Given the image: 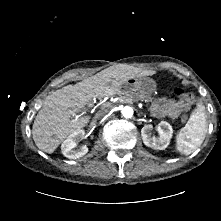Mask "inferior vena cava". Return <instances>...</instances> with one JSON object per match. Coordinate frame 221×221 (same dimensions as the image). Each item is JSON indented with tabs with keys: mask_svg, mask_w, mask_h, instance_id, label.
Returning <instances> with one entry per match:
<instances>
[{
	"mask_svg": "<svg viewBox=\"0 0 221 221\" xmlns=\"http://www.w3.org/2000/svg\"><path fill=\"white\" fill-rule=\"evenodd\" d=\"M109 112V108H104L102 110H99L96 115L95 118L96 119H101L102 117H104L107 113Z\"/></svg>",
	"mask_w": 221,
	"mask_h": 221,
	"instance_id": "1",
	"label": "inferior vena cava"
}]
</instances>
